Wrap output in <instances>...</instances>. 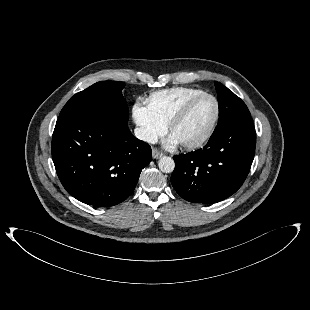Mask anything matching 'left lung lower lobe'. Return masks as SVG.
<instances>
[{
  "instance_id": "left-lung-lower-lobe-1",
  "label": "left lung lower lobe",
  "mask_w": 310,
  "mask_h": 310,
  "mask_svg": "<svg viewBox=\"0 0 310 310\" xmlns=\"http://www.w3.org/2000/svg\"><path fill=\"white\" fill-rule=\"evenodd\" d=\"M255 144L250 116L212 134L202 149L173 157L174 189L189 202L216 203L228 198L245 181Z\"/></svg>"
}]
</instances>
